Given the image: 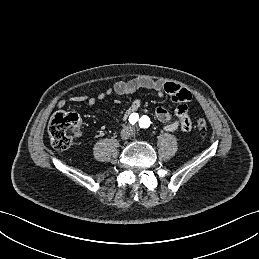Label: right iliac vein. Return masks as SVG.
Wrapping results in <instances>:
<instances>
[{"label":"right iliac vein","mask_w":259,"mask_h":259,"mask_svg":"<svg viewBox=\"0 0 259 259\" xmlns=\"http://www.w3.org/2000/svg\"><path fill=\"white\" fill-rule=\"evenodd\" d=\"M129 137H130V132H129V130H128V129L123 130L122 133H121V138L124 139V140H126V139H128Z\"/></svg>","instance_id":"63e3f726"}]
</instances>
